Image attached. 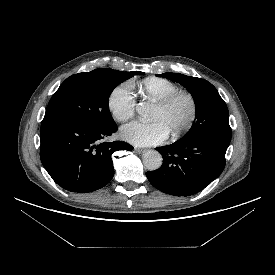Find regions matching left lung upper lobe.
<instances>
[{
    "label": "left lung upper lobe",
    "instance_id": "1",
    "mask_svg": "<svg viewBox=\"0 0 275 275\" xmlns=\"http://www.w3.org/2000/svg\"><path fill=\"white\" fill-rule=\"evenodd\" d=\"M166 77L182 84L192 94L196 105L195 121L181 139H209L231 141L229 112L216 88L208 81L179 73H164Z\"/></svg>",
    "mask_w": 275,
    "mask_h": 275
}]
</instances>
